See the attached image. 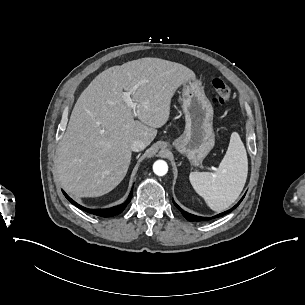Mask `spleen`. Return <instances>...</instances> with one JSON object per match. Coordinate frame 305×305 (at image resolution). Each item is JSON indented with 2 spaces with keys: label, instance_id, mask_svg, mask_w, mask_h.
I'll return each mask as SVG.
<instances>
[{
  "label": "spleen",
  "instance_id": "1",
  "mask_svg": "<svg viewBox=\"0 0 305 305\" xmlns=\"http://www.w3.org/2000/svg\"><path fill=\"white\" fill-rule=\"evenodd\" d=\"M247 168L243 143L237 133H232L219 166L212 172H190L189 181L209 209L222 211L241 193L247 177Z\"/></svg>",
  "mask_w": 305,
  "mask_h": 305
}]
</instances>
